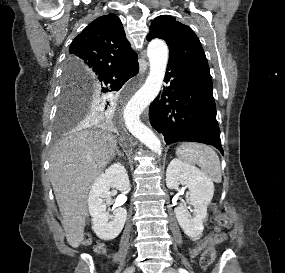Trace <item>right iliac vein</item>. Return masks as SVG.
Segmentation results:
<instances>
[{"label":"right iliac vein","mask_w":285,"mask_h":273,"mask_svg":"<svg viewBox=\"0 0 285 273\" xmlns=\"http://www.w3.org/2000/svg\"><path fill=\"white\" fill-rule=\"evenodd\" d=\"M135 272V267L131 266L128 267L123 273H134Z\"/></svg>","instance_id":"1"}]
</instances>
